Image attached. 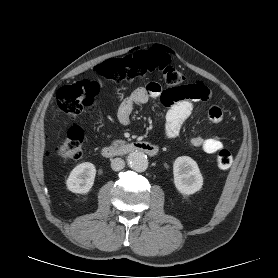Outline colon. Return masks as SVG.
Segmentation results:
<instances>
[{"label":"colon","mask_w":278,"mask_h":278,"mask_svg":"<svg viewBox=\"0 0 278 278\" xmlns=\"http://www.w3.org/2000/svg\"><path fill=\"white\" fill-rule=\"evenodd\" d=\"M96 73L103 79L115 83L132 84L145 76L157 72L171 87L174 100L182 98L202 99L201 84H185V76L170 64L166 51L153 47L145 51H137L122 58L104 61L95 67ZM100 85L96 80H82L59 88L56 96L57 109L71 119H76L84 111L95 105V98ZM84 134L80 127L73 126L67 138L56 147L57 155L64 161L76 160L81 157ZM216 163L221 169L232 165V155L221 148L216 154Z\"/></svg>","instance_id":"colon-1"}]
</instances>
